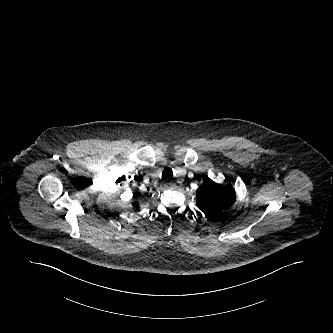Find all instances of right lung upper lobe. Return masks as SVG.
I'll list each match as a JSON object with an SVG mask.
<instances>
[{
    "label": "right lung upper lobe",
    "instance_id": "cb5924a9",
    "mask_svg": "<svg viewBox=\"0 0 333 333\" xmlns=\"http://www.w3.org/2000/svg\"><path fill=\"white\" fill-rule=\"evenodd\" d=\"M133 207L135 208V209H138L139 207H138V204H136V203H133Z\"/></svg>",
    "mask_w": 333,
    "mask_h": 333
}]
</instances>
